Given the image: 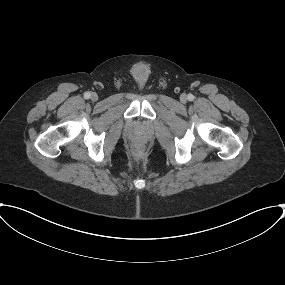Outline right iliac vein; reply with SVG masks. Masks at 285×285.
<instances>
[{"label": "right iliac vein", "instance_id": "right-iliac-vein-1", "mask_svg": "<svg viewBox=\"0 0 285 285\" xmlns=\"http://www.w3.org/2000/svg\"><path fill=\"white\" fill-rule=\"evenodd\" d=\"M91 99H92L93 101H96V100L98 99V95H97L96 93H92V94H91Z\"/></svg>", "mask_w": 285, "mask_h": 285}]
</instances>
